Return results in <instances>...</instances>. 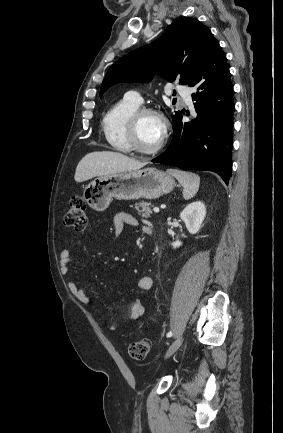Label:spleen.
I'll use <instances>...</instances> for the list:
<instances>
[{
    "label": "spleen",
    "mask_w": 283,
    "mask_h": 433,
    "mask_svg": "<svg viewBox=\"0 0 283 433\" xmlns=\"http://www.w3.org/2000/svg\"><path fill=\"white\" fill-rule=\"evenodd\" d=\"M168 174L175 176L179 180L180 184L184 186L183 196L185 200L195 196L199 190L200 176L194 174V172H185V170H177V168H167Z\"/></svg>",
    "instance_id": "3e777b00"
}]
</instances>
